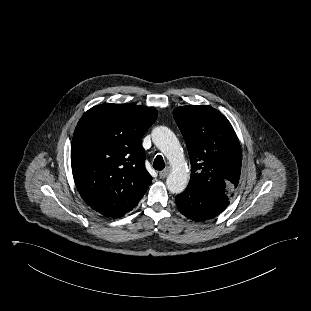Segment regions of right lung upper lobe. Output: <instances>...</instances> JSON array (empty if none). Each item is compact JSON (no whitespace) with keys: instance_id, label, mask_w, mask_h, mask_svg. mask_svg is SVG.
Here are the masks:
<instances>
[{"instance_id":"cb5924a9","label":"right lung upper lobe","mask_w":311,"mask_h":311,"mask_svg":"<svg viewBox=\"0 0 311 311\" xmlns=\"http://www.w3.org/2000/svg\"><path fill=\"white\" fill-rule=\"evenodd\" d=\"M157 110L132 104H101L79 120L71 143V167L83 200L106 217L132 210L152 177L141 139Z\"/></svg>"}]
</instances>
